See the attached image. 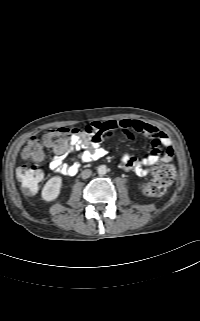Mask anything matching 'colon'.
Returning a JSON list of instances; mask_svg holds the SVG:
<instances>
[{
  "mask_svg": "<svg viewBox=\"0 0 200 321\" xmlns=\"http://www.w3.org/2000/svg\"><path fill=\"white\" fill-rule=\"evenodd\" d=\"M73 130L57 128L50 130L44 135V143L58 150H65ZM22 155L25 159L38 161L43 156L42 142L37 137H32L23 149ZM172 155L168 153L166 159L160 163L152 178L144 184L143 192L148 196L158 197L163 195L174 181L176 171L171 163ZM17 178L21 183L23 191L32 195L38 190L43 178L42 169L38 164H23L17 168Z\"/></svg>",
  "mask_w": 200,
  "mask_h": 321,
  "instance_id": "5ec220e1",
  "label": "colon"
}]
</instances>
